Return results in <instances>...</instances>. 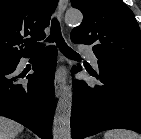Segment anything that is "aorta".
<instances>
[{
	"label": "aorta",
	"instance_id": "obj_1",
	"mask_svg": "<svg viewBox=\"0 0 141 139\" xmlns=\"http://www.w3.org/2000/svg\"><path fill=\"white\" fill-rule=\"evenodd\" d=\"M83 15L78 10H69L65 15L68 24L78 25ZM72 86L65 85L58 100L53 120V139H71Z\"/></svg>",
	"mask_w": 141,
	"mask_h": 139
}]
</instances>
